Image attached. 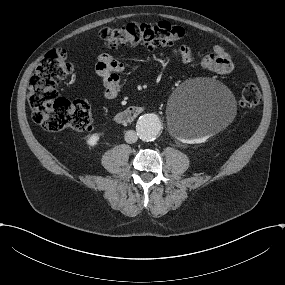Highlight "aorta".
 Wrapping results in <instances>:
<instances>
[{"mask_svg": "<svg viewBox=\"0 0 285 285\" xmlns=\"http://www.w3.org/2000/svg\"><path fill=\"white\" fill-rule=\"evenodd\" d=\"M162 128L161 122L156 115L145 114L136 124L137 135L142 141H153L160 133Z\"/></svg>", "mask_w": 285, "mask_h": 285, "instance_id": "762f6f07", "label": "aorta"}]
</instances>
